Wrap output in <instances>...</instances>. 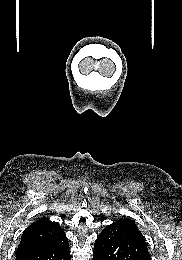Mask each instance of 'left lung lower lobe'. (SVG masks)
<instances>
[{
	"label": "left lung lower lobe",
	"mask_w": 182,
	"mask_h": 260,
	"mask_svg": "<svg viewBox=\"0 0 182 260\" xmlns=\"http://www.w3.org/2000/svg\"><path fill=\"white\" fill-rule=\"evenodd\" d=\"M93 260H151V257L144 237L109 225L95 241Z\"/></svg>",
	"instance_id": "0a47b994"
}]
</instances>
